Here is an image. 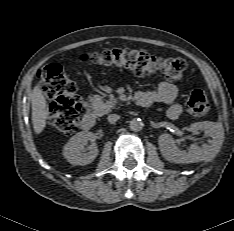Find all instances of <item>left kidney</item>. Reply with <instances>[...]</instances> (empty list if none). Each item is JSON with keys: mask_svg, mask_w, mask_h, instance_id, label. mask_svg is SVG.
<instances>
[{"mask_svg": "<svg viewBox=\"0 0 234 231\" xmlns=\"http://www.w3.org/2000/svg\"><path fill=\"white\" fill-rule=\"evenodd\" d=\"M190 131L193 134L204 131L212 140H208L209 144H203L201 147L192 144L186 152L178 149L176 141L170 134H162L158 138V144L161 154L166 160L178 164L194 163L209 160L220 151L224 141V129L221 124L210 121L196 122L190 125Z\"/></svg>", "mask_w": 234, "mask_h": 231, "instance_id": "obj_1", "label": "left kidney"}]
</instances>
